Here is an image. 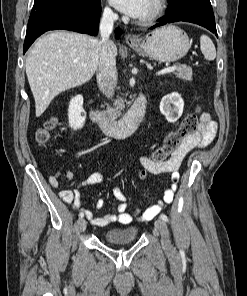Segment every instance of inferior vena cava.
<instances>
[{
    "mask_svg": "<svg viewBox=\"0 0 247 296\" xmlns=\"http://www.w3.org/2000/svg\"><path fill=\"white\" fill-rule=\"evenodd\" d=\"M116 18L117 15L111 9L106 8L99 25L101 39L99 41L100 54L96 75L97 83L107 98L114 95L116 86V60L113 53V42L109 38Z\"/></svg>",
    "mask_w": 247,
    "mask_h": 296,
    "instance_id": "602c4592",
    "label": "inferior vena cava"
}]
</instances>
